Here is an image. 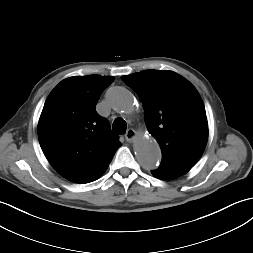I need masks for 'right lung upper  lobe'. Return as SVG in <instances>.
<instances>
[{
    "mask_svg": "<svg viewBox=\"0 0 253 253\" xmlns=\"http://www.w3.org/2000/svg\"><path fill=\"white\" fill-rule=\"evenodd\" d=\"M112 76H74L49 94L38 123V138L50 164L66 179L88 183L107 169L121 145L108 121L95 110Z\"/></svg>",
    "mask_w": 253,
    "mask_h": 253,
    "instance_id": "1",
    "label": "right lung upper lobe"
}]
</instances>
